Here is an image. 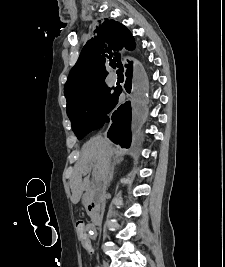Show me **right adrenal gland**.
<instances>
[{
	"label": "right adrenal gland",
	"instance_id": "1",
	"mask_svg": "<svg viewBox=\"0 0 225 267\" xmlns=\"http://www.w3.org/2000/svg\"><path fill=\"white\" fill-rule=\"evenodd\" d=\"M122 161V159L118 160L117 162H114L111 166H110V180L109 183L111 182V180L113 179L114 176V170H115V166L116 164H119Z\"/></svg>",
	"mask_w": 225,
	"mask_h": 267
}]
</instances>
